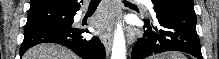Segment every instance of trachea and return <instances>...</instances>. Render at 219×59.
<instances>
[{"mask_svg": "<svg viewBox=\"0 0 219 59\" xmlns=\"http://www.w3.org/2000/svg\"><path fill=\"white\" fill-rule=\"evenodd\" d=\"M125 3H129L127 1H124ZM100 0H91L90 4H89V8H97V6L99 5Z\"/></svg>", "mask_w": 219, "mask_h": 59, "instance_id": "trachea-1", "label": "trachea"}]
</instances>
